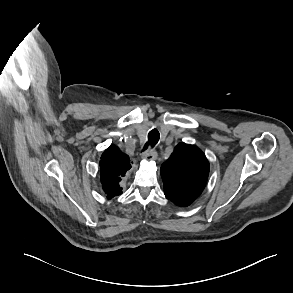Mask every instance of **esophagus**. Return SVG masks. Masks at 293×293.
<instances>
[{
  "instance_id": "34e87169",
  "label": "esophagus",
  "mask_w": 293,
  "mask_h": 293,
  "mask_svg": "<svg viewBox=\"0 0 293 293\" xmlns=\"http://www.w3.org/2000/svg\"><path fill=\"white\" fill-rule=\"evenodd\" d=\"M143 159L155 160L157 158V152L155 150H149L142 155Z\"/></svg>"
}]
</instances>
